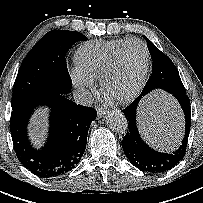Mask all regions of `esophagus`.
Wrapping results in <instances>:
<instances>
[{"instance_id":"34e87169","label":"esophagus","mask_w":203,"mask_h":203,"mask_svg":"<svg viewBox=\"0 0 203 203\" xmlns=\"http://www.w3.org/2000/svg\"><path fill=\"white\" fill-rule=\"evenodd\" d=\"M107 113V109L104 108H98L97 114L99 117H103Z\"/></svg>"}]
</instances>
